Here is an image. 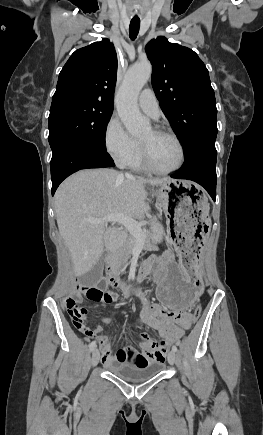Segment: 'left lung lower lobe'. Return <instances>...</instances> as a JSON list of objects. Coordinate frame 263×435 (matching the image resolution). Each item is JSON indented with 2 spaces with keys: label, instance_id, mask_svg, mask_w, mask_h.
<instances>
[{
  "label": "left lung lower lobe",
  "instance_id": "obj_1",
  "mask_svg": "<svg viewBox=\"0 0 263 435\" xmlns=\"http://www.w3.org/2000/svg\"><path fill=\"white\" fill-rule=\"evenodd\" d=\"M216 159L215 141L199 143L185 155L182 169L172 174V178L189 179L203 186L212 199H216Z\"/></svg>",
  "mask_w": 263,
  "mask_h": 435
}]
</instances>
